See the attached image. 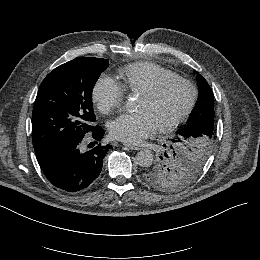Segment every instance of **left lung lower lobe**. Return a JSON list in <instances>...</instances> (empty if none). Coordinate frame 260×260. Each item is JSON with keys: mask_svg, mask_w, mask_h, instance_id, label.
Listing matches in <instances>:
<instances>
[{"mask_svg": "<svg viewBox=\"0 0 260 260\" xmlns=\"http://www.w3.org/2000/svg\"><path fill=\"white\" fill-rule=\"evenodd\" d=\"M189 132L192 134H211L214 132V105L199 102L192 115Z\"/></svg>", "mask_w": 260, "mask_h": 260, "instance_id": "left-lung-lower-lobe-1", "label": "left lung lower lobe"}]
</instances>
